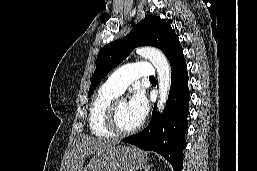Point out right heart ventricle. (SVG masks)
Returning <instances> with one entry per match:
<instances>
[{"label":"right heart ventricle","mask_w":257,"mask_h":171,"mask_svg":"<svg viewBox=\"0 0 257 171\" xmlns=\"http://www.w3.org/2000/svg\"><path fill=\"white\" fill-rule=\"evenodd\" d=\"M119 95V92L109 88L106 84L102 85L95 93L88 113V124L93 135L98 137L114 136L106 127L105 117L109 104Z\"/></svg>","instance_id":"obj_1"}]
</instances>
